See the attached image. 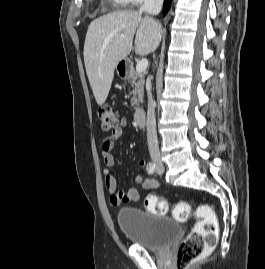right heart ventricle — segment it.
<instances>
[{"instance_id":"1","label":"right heart ventricle","mask_w":265,"mask_h":269,"mask_svg":"<svg viewBox=\"0 0 265 269\" xmlns=\"http://www.w3.org/2000/svg\"><path fill=\"white\" fill-rule=\"evenodd\" d=\"M116 6L124 7L128 4L127 0H111Z\"/></svg>"}]
</instances>
